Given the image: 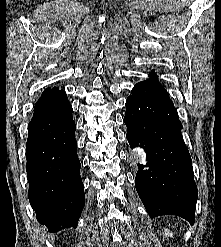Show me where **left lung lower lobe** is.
<instances>
[{
    "label": "left lung lower lobe",
    "mask_w": 221,
    "mask_h": 247,
    "mask_svg": "<svg viewBox=\"0 0 221 247\" xmlns=\"http://www.w3.org/2000/svg\"><path fill=\"white\" fill-rule=\"evenodd\" d=\"M126 101L124 123L133 149L139 143L146 151L148 170L138 165L135 185L151 218L180 216L195 222L197 187L192 160L180 130L173 102L150 96L135 87Z\"/></svg>",
    "instance_id": "left-lung-lower-lobe-1"
}]
</instances>
